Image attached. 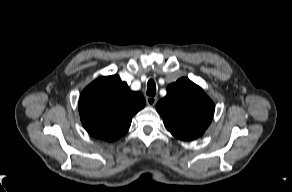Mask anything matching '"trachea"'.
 Here are the masks:
<instances>
[{
	"mask_svg": "<svg viewBox=\"0 0 292 192\" xmlns=\"http://www.w3.org/2000/svg\"><path fill=\"white\" fill-rule=\"evenodd\" d=\"M156 94V84L153 80H149L147 83V95L155 96Z\"/></svg>",
	"mask_w": 292,
	"mask_h": 192,
	"instance_id": "trachea-1",
	"label": "trachea"
}]
</instances>
